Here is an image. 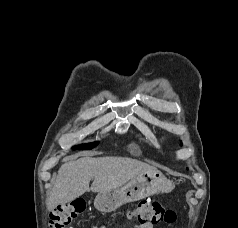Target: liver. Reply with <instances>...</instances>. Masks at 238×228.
Listing matches in <instances>:
<instances>
[{"instance_id":"liver-1","label":"liver","mask_w":238,"mask_h":228,"mask_svg":"<svg viewBox=\"0 0 238 228\" xmlns=\"http://www.w3.org/2000/svg\"><path fill=\"white\" fill-rule=\"evenodd\" d=\"M155 168L126 157H82L63 164L47 198V209L69 203L85 192L120 188L136 176ZM93 179L91 187L89 183Z\"/></svg>"}]
</instances>
